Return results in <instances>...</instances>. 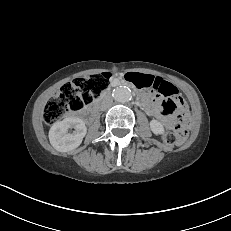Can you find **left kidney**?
Here are the masks:
<instances>
[{
    "mask_svg": "<svg viewBox=\"0 0 231 231\" xmlns=\"http://www.w3.org/2000/svg\"><path fill=\"white\" fill-rule=\"evenodd\" d=\"M150 128L152 132L156 135H161V134H164L165 132L163 125L161 124V122L157 120H152L150 122Z\"/></svg>",
    "mask_w": 231,
    "mask_h": 231,
    "instance_id": "5707ae66",
    "label": "left kidney"
}]
</instances>
